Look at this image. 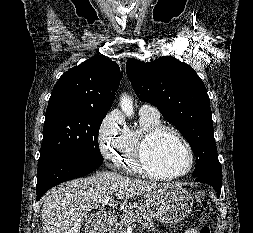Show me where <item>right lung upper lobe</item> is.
I'll return each instance as SVG.
<instances>
[{
  "label": "right lung upper lobe",
  "mask_w": 253,
  "mask_h": 233,
  "mask_svg": "<svg viewBox=\"0 0 253 233\" xmlns=\"http://www.w3.org/2000/svg\"><path fill=\"white\" fill-rule=\"evenodd\" d=\"M123 72L104 57H93L65 72L55 84L48 106H83L108 111Z\"/></svg>",
  "instance_id": "1"
}]
</instances>
